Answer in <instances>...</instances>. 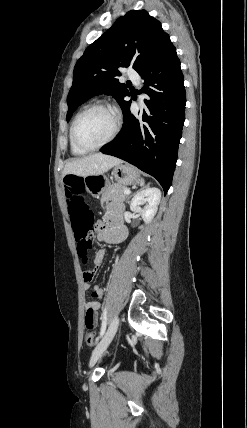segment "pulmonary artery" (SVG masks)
<instances>
[{
    "label": "pulmonary artery",
    "mask_w": 247,
    "mask_h": 428,
    "mask_svg": "<svg viewBox=\"0 0 247 428\" xmlns=\"http://www.w3.org/2000/svg\"><path fill=\"white\" fill-rule=\"evenodd\" d=\"M127 75L130 79H132L135 82L139 81V75L137 74L136 71L132 70V69H128L127 70Z\"/></svg>",
    "instance_id": "1"
}]
</instances>
